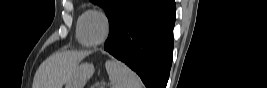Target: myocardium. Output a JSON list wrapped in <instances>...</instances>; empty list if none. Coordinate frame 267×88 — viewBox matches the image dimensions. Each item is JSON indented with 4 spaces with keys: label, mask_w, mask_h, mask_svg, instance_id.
Listing matches in <instances>:
<instances>
[{
    "label": "myocardium",
    "mask_w": 267,
    "mask_h": 88,
    "mask_svg": "<svg viewBox=\"0 0 267 88\" xmlns=\"http://www.w3.org/2000/svg\"><path fill=\"white\" fill-rule=\"evenodd\" d=\"M91 15L99 17L103 21V24H104V34H103L102 38L96 42L87 41V39L85 38V34H84L85 21ZM109 31H110L109 20H108V17L103 12L97 11V10H92L88 14L85 15V17L83 19L82 27H81V36H82V40L86 46L96 47V46L101 45L107 39V37L109 35Z\"/></svg>",
    "instance_id": "1"
}]
</instances>
